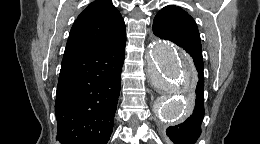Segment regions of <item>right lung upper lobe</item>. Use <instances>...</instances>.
<instances>
[{
	"mask_svg": "<svg viewBox=\"0 0 260 144\" xmlns=\"http://www.w3.org/2000/svg\"><path fill=\"white\" fill-rule=\"evenodd\" d=\"M125 40V23L120 12L111 0H97L74 22L63 57Z\"/></svg>",
	"mask_w": 260,
	"mask_h": 144,
	"instance_id": "cb5924a9",
	"label": "right lung upper lobe"
}]
</instances>
